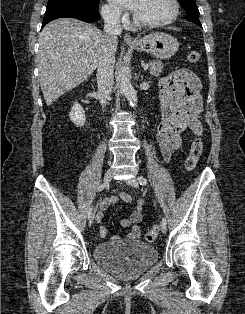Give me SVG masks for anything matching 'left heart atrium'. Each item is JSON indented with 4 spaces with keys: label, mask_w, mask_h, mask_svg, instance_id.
<instances>
[{
    "label": "left heart atrium",
    "mask_w": 245,
    "mask_h": 314,
    "mask_svg": "<svg viewBox=\"0 0 245 314\" xmlns=\"http://www.w3.org/2000/svg\"><path fill=\"white\" fill-rule=\"evenodd\" d=\"M143 0H111V2L120 8L130 10L136 13L142 3Z\"/></svg>",
    "instance_id": "39dd6f15"
}]
</instances>
